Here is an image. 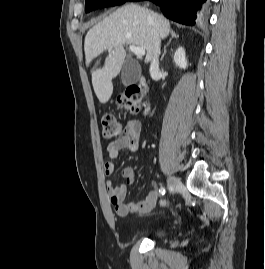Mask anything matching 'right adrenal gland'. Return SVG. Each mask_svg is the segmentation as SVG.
<instances>
[{"label": "right adrenal gland", "mask_w": 265, "mask_h": 269, "mask_svg": "<svg viewBox=\"0 0 265 269\" xmlns=\"http://www.w3.org/2000/svg\"><path fill=\"white\" fill-rule=\"evenodd\" d=\"M170 39H169V41H168V43L165 45V47H164V52H163V54H162V56H161V61L163 60V58H164V56H165V54H166V49H167V47L169 46V44L171 43V41H172V39H177V38H179V35L177 34V33H175L174 31H171L170 32Z\"/></svg>", "instance_id": "obj_1"}]
</instances>
